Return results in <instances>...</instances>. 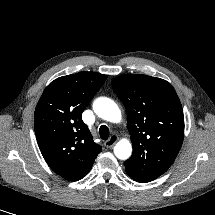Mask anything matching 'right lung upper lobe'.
Segmentation results:
<instances>
[{
	"label": "right lung upper lobe",
	"mask_w": 215,
	"mask_h": 215,
	"mask_svg": "<svg viewBox=\"0 0 215 215\" xmlns=\"http://www.w3.org/2000/svg\"><path fill=\"white\" fill-rule=\"evenodd\" d=\"M106 78L95 72L59 77L36 106L34 128L40 151L50 168L66 180L84 177L101 152L81 115Z\"/></svg>",
	"instance_id": "1"
}]
</instances>
